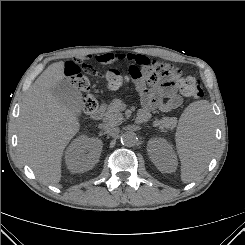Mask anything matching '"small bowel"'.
Instances as JSON below:
<instances>
[{
  "instance_id": "1",
  "label": "small bowel",
  "mask_w": 245,
  "mask_h": 245,
  "mask_svg": "<svg viewBox=\"0 0 245 245\" xmlns=\"http://www.w3.org/2000/svg\"><path fill=\"white\" fill-rule=\"evenodd\" d=\"M96 60L103 64L126 62L138 69L136 76H130L142 103V110L138 115L140 121H146L152 111L171 112L182 105V98L177 94L175 87L166 81L150 80L154 62L145 55L103 53L96 56Z\"/></svg>"
}]
</instances>
